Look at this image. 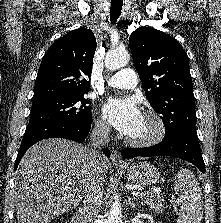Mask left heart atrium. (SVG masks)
I'll return each mask as SVG.
<instances>
[{
    "label": "left heart atrium",
    "instance_id": "39dd6f15",
    "mask_svg": "<svg viewBox=\"0 0 221 223\" xmlns=\"http://www.w3.org/2000/svg\"><path fill=\"white\" fill-rule=\"evenodd\" d=\"M103 117L119 132L130 135L137 127L142 117L135 99L110 98L102 106Z\"/></svg>",
    "mask_w": 221,
    "mask_h": 223
}]
</instances>
